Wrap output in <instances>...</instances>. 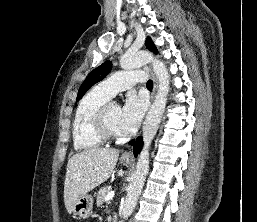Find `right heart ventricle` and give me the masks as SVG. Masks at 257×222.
I'll return each instance as SVG.
<instances>
[{"instance_id": "1", "label": "right heart ventricle", "mask_w": 257, "mask_h": 222, "mask_svg": "<svg viewBox=\"0 0 257 222\" xmlns=\"http://www.w3.org/2000/svg\"><path fill=\"white\" fill-rule=\"evenodd\" d=\"M111 98L101 89L94 88L80 100L72 123V137L75 149L91 150L103 144V140L96 133L94 118L98 110Z\"/></svg>"}]
</instances>
